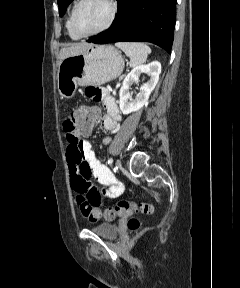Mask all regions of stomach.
Returning <instances> with one entry per match:
<instances>
[{
  "label": "stomach",
  "instance_id": "0dacf381",
  "mask_svg": "<svg viewBox=\"0 0 240 288\" xmlns=\"http://www.w3.org/2000/svg\"><path fill=\"white\" fill-rule=\"evenodd\" d=\"M123 68V57L115 47L91 44L60 62L57 73L59 94L70 99L78 86H100L120 76Z\"/></svg>",
  "mask_w": 240,
  "mask_h": 288
}]
</instances>
